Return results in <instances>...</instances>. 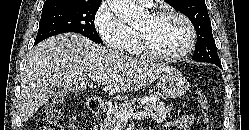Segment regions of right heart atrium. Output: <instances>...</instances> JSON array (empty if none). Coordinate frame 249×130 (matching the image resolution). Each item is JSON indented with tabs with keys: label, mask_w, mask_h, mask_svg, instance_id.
Returning <instances> with one entry per match:
<instances>
[{
	"label": "right heart atrium",
	"mask_w": 249,
	"mask_h": 130,
	"mask_svg": "<svg viewBox=\"0 0 249 130\" xmlns=\"http://www.w3.org/2000/svg\"><path fill=\"white\" fill-rule=\"evenodd\" d=\"M93 26L101 40L110 48L124 51L129 27L114 13L107 2H102L93 17Z\"/></svg>",
	"instance_id": "right-heart-atrium-1"
}]
</instances>
